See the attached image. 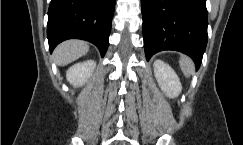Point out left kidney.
<instances>
[{
    "mask_svg": "<svg viewBox=\"0 0 243 145\" xmlns=\"http://www.w3.org/2000/svg\"><path fill=\"white\" fill-rule=\"evenodd\" d=\"M154 74L162 91L169 98L177 97L182 91V85L175 71L165 62H154Z\"/></svg>",
    "mask_w": 243,
    "mask_h": 145,
    "instance_id": "left-kidney-1",
    "label": "left kidney"
}]
</instances>
